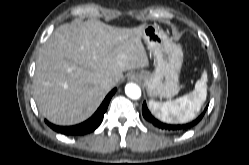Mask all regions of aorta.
Instances as JSON below:
<instances>
[{
    "instance_id": "1",
    "label": "aorta",
    "mask_w": 249,
    "mask_h": 165,
    "mask_svg": "<svg viewBox=\"0 0 249 165\" xmlns=\"http://www.w3.org/2000/svg\"><path fill=\"white\" fill-rule=\"evenodd\" d=\"M125 94L133 99V100H137L141 97V89L140 87L135 84V83H128L125 86Z\"/></svg>"
}]
</instances>
